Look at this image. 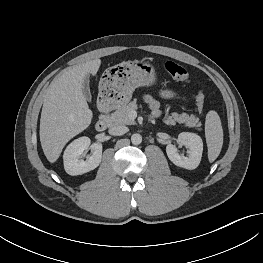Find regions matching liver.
I'll list each match as a JSON object with an SVG mask.
<instances>
[{"label": "liver", "instance_id": "6515ba94", "mask_svg": "<svg viewBox=\"0 0 263 263\" xmlns=\"http://www.w3.org/2000/svg\"><path fill=\"white\" fill-rule=\"evenodd\" d=\"M100 59L73 66L50 84L40 118V142L50 163L59 158L66 143L91 124L93 113L83 94L86 75H96Z\"/></svg>", "mask_w": 263, "mask_h": 263}]
</instances>
